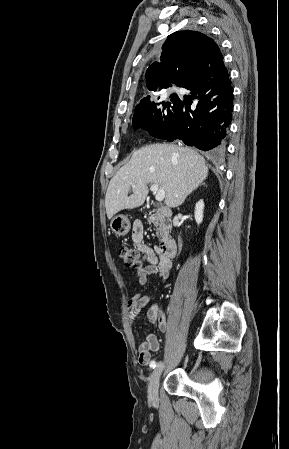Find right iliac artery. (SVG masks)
Instances as JSON below:
<instances>
[{"mask_svg":"<svg viewBox=\"0 0 289 449\" xmlns=\"http://www.w3.org/2000/svg\"><path fill=\"white\" fill-rule=\"evenodd\" d=\"M157 365L156 361H151L150 368H155Z\"/></svg>","mask_w":289,"mask_h":449,"instance_id":"1","label":"right iliac artery"}]
</instances>
